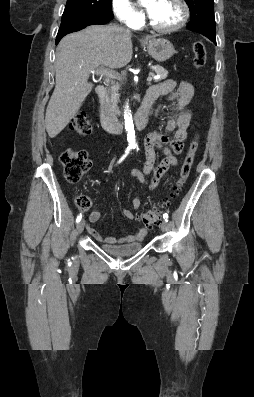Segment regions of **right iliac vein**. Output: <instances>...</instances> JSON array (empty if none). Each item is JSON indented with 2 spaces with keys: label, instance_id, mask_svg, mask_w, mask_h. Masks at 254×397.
I'll return each instance as SVG.
<instances>
[{
  "label": "right iliac vein",
  "instance_id": "63e3f726",
  "mask_svg": "<svg viewBox=\"0 0 254 397\" xmlns=\"http://www.w3.org/2000/svg\"><path fill=\"white\" fill-rule=\"evenodd\" d=\"M84 226H85V221L81 220L78 224H77V232L78 234H81L84 230Z\"/></svg>",
  "mask_w": 254,
  "mask_h": 397
}]
</instances>
